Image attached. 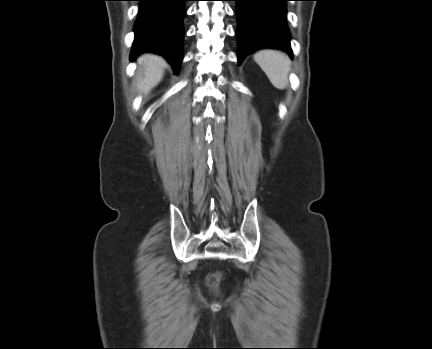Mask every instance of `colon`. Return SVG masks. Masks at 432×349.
Returning <instances> with one entry per match:
<instances>
[{
  "label": "colon",
  "mask_w": 432,
  "mask_h": 349,
  "mask_svg": "<svg viewBox=\"0 0 432 349\" xmlns=\"http://www.w3.org/2000/svg\"><path fill=\"white\" fill-rule=\"evenodd\" d=\"M218 279H219L218 275L212 274L208 277V283L210 285H215L218 282Z\"/></svg>",
  "instance_id": "5ec220e1"
}]
</instances>
